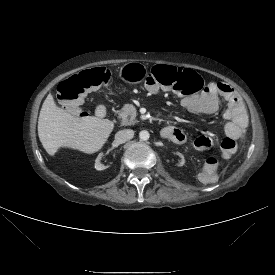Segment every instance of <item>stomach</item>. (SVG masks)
<instances>
[{
  "label": "stomach",
  "instance_id": "0dacf381",
  "mask_svg": "<svg viewBox=\"0 0 275 275\" xmlns=\"http://www.w3.org/2000/svg\"><path fill=\"white\" fill-rule=\"evenodd\" d=\"M147 75V68L139 62H128L119 70V77L129 84L140 83Z\"/></svg>",
  "mask_w": 275,
  "mask_h": 275
}]
</instances>
